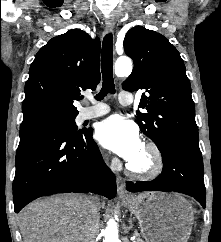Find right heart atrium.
Wrapping results in <instances>:
<instances>
[{
	"instance_id": "obj_1",
	"label": "right heart atrium",
	"mask_w": 221,
	"mask_h": 242,
	"mask_svg": "<svg viewBox=\"0 0 221 242\" xmlns=\"http://www.w3.org/2000/svg\"><path fill=\"white\" fill-rule=\"evenodd\" d=\"M101 161H102V162H106V161H107V158H106V156H105L104 154L101 155ZM115 164H116L115 162L112 163L113 166H114Z\"/></svg>"
}]
</instances>
